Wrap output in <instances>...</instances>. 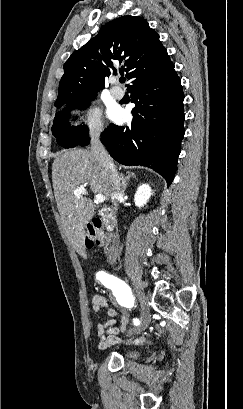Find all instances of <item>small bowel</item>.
Masks as SVG:
<instances>
[{
  "label": "small bowel",
  "instance_id": "c3829d8e",
  "mask_svg": "<svg viewBox=\"0 0 243 409\" xmlns=\"http://www.w3.org/2000/svg\"><path fill=\"white\" fill-rule=\"evenodd\" d=\"M92 310L98 315L101 311L106 310L109 319L105 323H99L97 325V332L99 343V349H107L115 344L121 343L123 339L118 335L126 330L128 323V315L126 313L121 314L120 326L117 325V311L108 302L107 298L101 294H96L92 298ZM146 337H140L133 340L135 344H141L145 342Z\"/></svg>",
  "mask_w": 243,
  "mask_h": 409
}]
</instances>
